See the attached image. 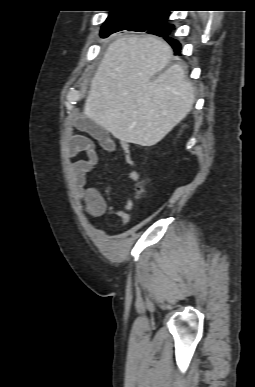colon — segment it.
Masks as SVG:
<instances>
[{
    "instance_id": "colon-1",
    "label": "colon",
    "mask_w": 255,
    "mask_h": 387,
    "mask_svg": "<svg viewBox=\"0 0 255 387\" xmlns=\"http://www.w3.org/2000/svg\"><path fill=\"white\" fill-rule=\"evenodd\" d=\"M145 193V187H144V184L143 183H140L138 186H137V189H136V196L138 198H141L143 197Z\"/></svg>"
}]
</instances>
